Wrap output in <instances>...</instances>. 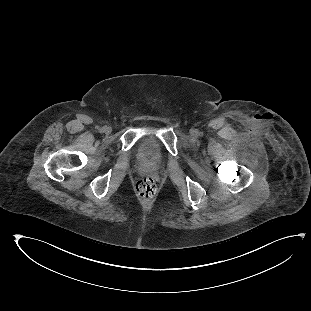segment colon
Instances as JSON below:
<instances>
[{
  "mask_svg": "<svg viewBox=\"0 0 311 311\" xmlns=\"http://www.w3.org/2000/svg\"><path fill=\"white\" fill-rule=\"evenodd\" d=\"M156 184L153 178L149 176L141 177L135 184V191L141 198H150L156 192Z\"/></svg>",
  "mask_w": 311,
  "mask_h": 311,
  "instance_id": "5ec220e1",
  "label": "colon"
}]
</instances>
